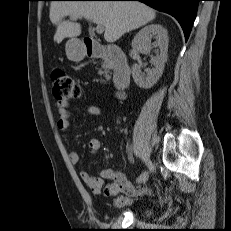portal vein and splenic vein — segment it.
Returning <instances> with one entry per match:
<instances>
[{
  "label": "portal vein and splenic vein",
  "mask_w": 231,
  "mask_h": 231,
  "mask_svg": "<svg viewBox=\"0 0 231 231\" xmlns=\"http://www.w3.org/2000/svg\"><path fill=\"white\" fill-rule=\"evenodd\" d=\"M77 18H78V16L75 17V19H77ZM103 31H104V27L101 24H97L96 32L101 34V33H103Z\"/></svg>",
  "instance_id": "obj_1"
}]
</instances>
